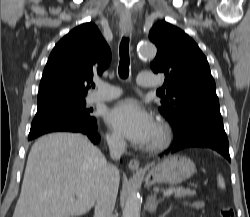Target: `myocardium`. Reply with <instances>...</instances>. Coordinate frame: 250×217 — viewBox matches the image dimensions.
Wrapping results in <instances>:
<instances>
[{
  "mask_svg": "<svg viewBox=\"0 0 250 217\" xmlns=\"http://www.w3.org/2000/svg\"><path fill=\"white\" fill-rule=\"evenodd\" d=\"M156 138L153 142L147 145L146 149L149 152H159L166 148L171 139V131L167 123L159 120L156 124Z\"/></svg>",
  "mask_w": 250,
  "mask_h": 217,
  "instance_id": "myocardium-1",
  "label": "myocardium"
}]
</instances>
